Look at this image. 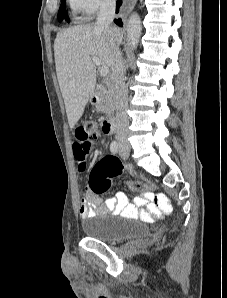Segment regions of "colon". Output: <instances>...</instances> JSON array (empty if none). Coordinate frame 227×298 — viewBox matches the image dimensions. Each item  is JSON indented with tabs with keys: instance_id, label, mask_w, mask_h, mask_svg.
<instances>
[{
	"instance_id": "obj_1",
	"label": "colon",
	"mask_w": 227,
	"mask_h": 298,
	"mask_svg": "<svg viewBox=\"0 0 227 298\" xmlns=\"http://www.w3.org/2000/svg\"><path fill=\"white\" fill-rule=\"evenodd\" d=\"M99 136L100 130L95 121H87L75 130V139H81V142H94ZM122 172L123 166L115 157L106 156L102 158L91 170L89 177L90 190L98 195L106 193L112 185V179ZM128 187L134 191L151 190V185L135 181L128 182ZM153 203L161 211L168 205L166 197L161 194H156Z\"/></svg>"
}]
</instances>
